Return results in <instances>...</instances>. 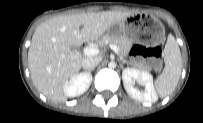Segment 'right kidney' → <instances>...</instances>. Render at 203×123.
<instances>
[{"mask_svg":"<svg viewBox=\"0 0 203 123\" xmlns=\"http://www.w3.org/2000/svg\"><path fill=\"white\" fill-rule=\"evenodd\" d=\"M92 82V75L89 72H81L74 75L63 87L67 97H76L85 93Z\"/></svg>","mask_w":203,"mask_h":123,"instance_id":"ca27d5eb","label":"right kidney"}]
</instances>
